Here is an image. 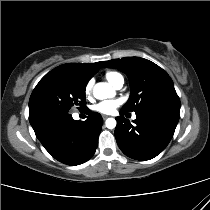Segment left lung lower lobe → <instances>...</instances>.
Segmentation results:
<instances>
[{
  "instance_id": "1",
  "label": "left lung lower lobe",
  "mask_w": 210,
  "mask_h": 210,
  "mask_svg": "<svg viewBox=\"0 0 210 210\" xmlns=\"http://www.w3.org/2000/svg\"><path fill=\"white\" fill-rule=\"evenodd\" d=\"M116 117L115 138L121 151L135 160H150L160 154L173 137L179 121V111L151 108L136 112L133 126L123 117Z\"/></svg>"
}]
</instances>
